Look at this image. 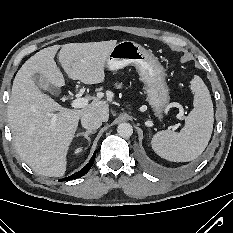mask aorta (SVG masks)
<instances>
[{"label": "aorta", "instance_id": "obj_1", "mask_svg": "<svg viewBox=\"0 0 233 233\" xmlns=\"http://www.w3.org/2000/svg\"><path fill=\"white\" fill-rule=\"evenodd\" d=\"M117 133L123 138H128L133 134V127L129 123H121L117 127Z\"/></svg>", "mask_w": 233, "mask_h": 233}]
</instances>
